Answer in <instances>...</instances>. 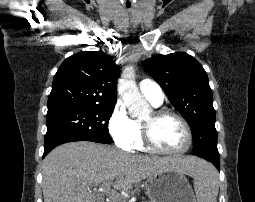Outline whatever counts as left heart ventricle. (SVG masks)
<instances>
[{
  "label": "left heart ventricle",
  "instance_id": "obj_1",
  "mask_svg": "<svg viewBox=\"0 0 255 202\" xmlns=\"http://www.w3.org/2000/svg\"><path fill=\"white\" fill-rule=\"evenodd\" d=\"M152 113L144 120L151 119ZM153 138L158 147L164 150L175 151L186 144V133L182 124L173 117H166L154 124Z\"/></svg>",
  "mask_w": 255,
  "mask_h": 202
}]
</instances>
